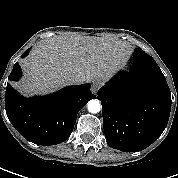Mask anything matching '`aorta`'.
Here are the masks:
<instances>
[{
  "label": "aorta",
  "mask_w": 178,
  "mask_h": 178,
  "mask_svg": "<svg viewBox=\"0 0 178 178\" xmlns=\"http://www.w3.org/2000/svg\"><path fill=\"white\" fill-rule=\"evenodd\" d=\"M88 111L91 113H97L101 109V104L98 100H91L87 105Z\"/></svg>",
  "instance_id": "762f6f07"
}]
</instances>
